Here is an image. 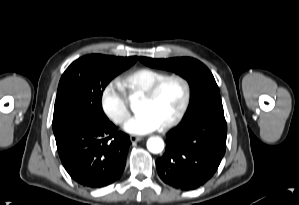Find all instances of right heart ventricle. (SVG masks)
Segmentation results:
<instances>
[{
  "mask_svg": "<svg viewBox=\"0 0 299 205\" xmlns=\"http://www.w3.org/2000/svg\"><path fill=\"white\" fill-rule=\"evenodd\" d=\"M168 74L149 67L132 70L117 80L121 90L129 97H140L155 82Z\"/></svg>",
  "mask_w": 299,
  "mask_h": 205,
  "instance_id": "obj_1",
  "label": "right heart ventricle"
}]
</instances>
